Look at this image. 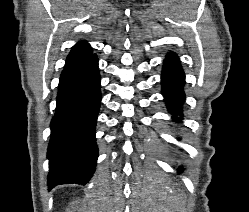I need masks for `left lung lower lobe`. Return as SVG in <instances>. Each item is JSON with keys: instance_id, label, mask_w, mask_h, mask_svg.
I'll use <instances>...</instances> for the list:
<instances>
[{"instance_id": "left-lung-lower-lobe-1", "label": "left lung lower lobe", "mask_w": 249, "mask_h": 212, "mask_svg": "<svg viewBox=\"0 0 249 212\" xmlns=\"http://www.w3.org/2000/svg\"><path fill=\"white\" fill-rule=\"evenodd\" d=\"M185 84V75L180 65L179 59L175 54H168L162 71V94L169 113L173 115V120L179 121L182 116V103L185 100L183 85ZM179 169V173H182Z\"/></svg>"}]
</instances>
